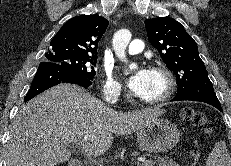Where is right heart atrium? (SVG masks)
Here are the masks:
<instances>
[{"label":"right heart atrium","mask_w":231,"mask_h":166,"mask_svg":"<svg viewBox=\"0 0 231 166\" xmlns=\"http://www.w3.org/2000/svg\"><path fill=\"white\" fill-rule=\"evenodd\" d=\"M122 85L107 71L104 79L103 93L109 99H117L122 95Z\"/></svg>","instance_id":"1"}]
</instances>
